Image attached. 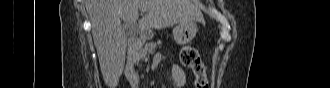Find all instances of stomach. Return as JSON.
I'll use <instances>...</instances> for the list:
<instances>
[{"label":"stomach","instance_id":"stomach-1","mask_svg":"<svg viewBox=\"0 0 330 88\" xmlns=\"http://www.w3.org/2000/svg\"><path fill=\"white\" fill-rule=\"evenodd\" d=\"M198 27L194 21L179 23L173 29L174 40L179 45H186L195 37Z\"/></svg>","mask_w":330,"mask_h":88}]
</instances>
